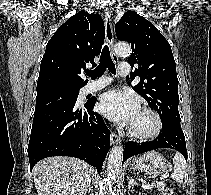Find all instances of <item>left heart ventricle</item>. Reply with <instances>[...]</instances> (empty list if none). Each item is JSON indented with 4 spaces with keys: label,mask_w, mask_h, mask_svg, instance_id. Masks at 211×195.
I'll return each instance as SVG.
<instances>
[{
    "label": "left heart ventricle",
    "mask_w": 211,
    "mask_h": 195,
    "mask_svg": "<svg viewBox=\"0 0 211 195\" xmlns=\"http://www.w3.org/2000/svg\"><path fill=\"white\" fill-rule=\"evenodd\" d=\"M153 125L152 117L147 113L139 111L130 127L138 132H147L152 129Z\"/></svg>",
    "instance_id": "1"
}]
</instances>
